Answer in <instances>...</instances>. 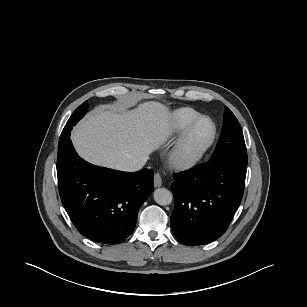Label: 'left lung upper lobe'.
Instances as JSON below:
<instances>
[{
    "label": "left lung upper lobe",
    "instance_id": "left-lung-upper-lobe-1",
    "mask_svg": "<svg viewBox=\"0 0 307 307\" xmlns=\"http://www.w3.org/2000/svg\"><path fill=\"white\" fill-rule=\"evenodd\" d=\"M229 160L247 166V151L241 126L228 107L224 110V121L215 151L210 161Z\"/></svg>",
    "mask_w": 307,
    "mask_h": 307
}]
</instances>
